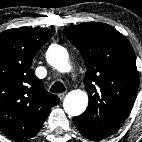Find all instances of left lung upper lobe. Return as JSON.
<instances>
[{
	"label": "left lung upper lobe",
	"mask_w": 142,
	"mask_h": 142,
	"mask_svg": "<svg viewBox=\"0 0 142 142\" xmlns=\"http://www.w3.org/2000/svg\"><path fill=\"white\" fill-rule=\"evenodd\" d=\"M64 34L87 69L84 84L89 105L75 118L108 137L124 123L135 102L139 75L134 50L124 35L104 23L69 26Z\"/></svg>",
	"instance_id": "1"
}]
</instances>
